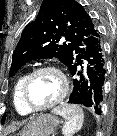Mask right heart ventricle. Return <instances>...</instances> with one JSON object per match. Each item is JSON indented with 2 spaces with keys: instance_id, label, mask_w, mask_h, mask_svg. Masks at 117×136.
I'll use <instances>...</instances> for the list:
<instances>
[{
  "instance_id": "1",
  "label": "right heart ventricle",
  "mask_w": 117,
  "mask_h": 136,
  "mask_svg": "<svg viewBox=\"0 0 117 136\" xmlns=\"http://www.w3.org/2000/svg\"><path fill=\"white\" fill-rule=\"evenodd\" d=\"M29 74H22L15 82L12 92V100L15 110L18 114L22 116H26L31 114L32 112L28 110V108L24 105L22 100V90L24 82Z\"/></svg>"
}]
</instances>
